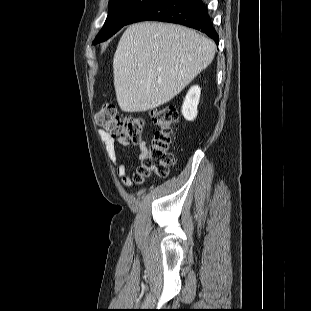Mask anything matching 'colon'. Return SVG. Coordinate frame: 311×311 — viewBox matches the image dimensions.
I'll return each mask as SVG.
<instances>
[{"label":"colon","mask_w":311,"mask_h":311,"mask_svg":"<svg viewBox=\"0 0 311 311\" xmlns=\"http://www.w3.org/2000/svg\"><path fill=\"white\" fill-rule=\"evenodd\" d=\"M158 130L140 162L135 181L140 182L150 175L166 176L173 162L171 152L172 132L177 112L171 106H163L151 113ZM96 123L107 131L120 134L134 143L141 141L145 131V120L135 116H121L114 105L104 104L96 113Z\"/></svg>","instance_id":"5ec220e1"}]
</instances>
